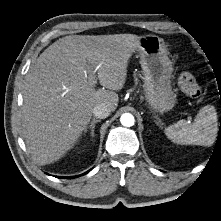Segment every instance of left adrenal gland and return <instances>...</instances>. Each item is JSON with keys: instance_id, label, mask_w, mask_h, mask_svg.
<instances>
[{"instance_id": "left-adrenal-gland-1", "label": "left adrenal gland", "mask_w": 221, "mask_h": 221, "mask_svg": "<svg viewBox=\"0 0 221 221\" xmlns=\"http://www.w3.org/2000/svg\"><path fill=\"white\" fill-rule=\"evenodd\" d=\"M156 124L157 125L162 124V122H161V120L159 118H157Z\"/></svg>"}]
</instances>
